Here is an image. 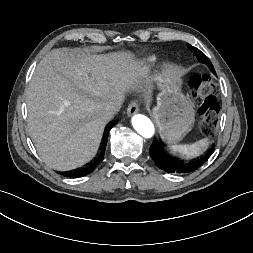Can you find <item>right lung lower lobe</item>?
Wrapping results in <instances>:
<instances>
[{"instance_id":"98d812e1","label":"right lung lower lobe","mask_w":253,"mask_h":253,"mask_svg":"<svg viewBox=\"0 0 253 253\" xmlns=\"http://www.w3.org/2000/svg\"><path fill=\"white\" fill-rule=\"evenodd\" d=\"M114 126V124H110L107 127L106 133H105V138H104V143H103V147H102V151L100 153V157L98 159V161L96 163H94L93 165L89 166L88 168H85L83 170H79L70 174H67L66 176L68 177H74V178H78V177H83L85 175H88L89 173H91L95 167L97 166V164L103 159L104 157V153H105V149H106V144H107V140H108V134H109V130Z\"/></svg>"}]
</instances>
